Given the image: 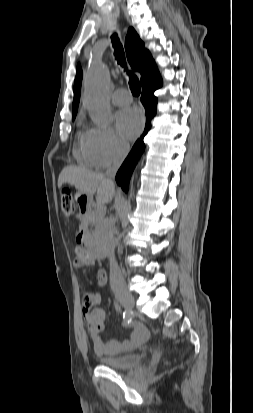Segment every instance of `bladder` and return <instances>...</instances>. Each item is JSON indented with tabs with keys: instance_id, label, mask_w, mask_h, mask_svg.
Listing matches in <instances>:
<instances>
[{
	"instance_id": "1",
	"label": "bladder",
	"mask_w": 253,
	"mask_h": 413,
	"mask_svg": "<svg viewBox=\"0 0 253 413\" xmlns=\"http://www.w3.org/2000/svg\"><path fill=\"white\" fill-rule=\"evenodd\" d=\"M143 356L139 353L124 354L118 356L100 357L99 362L114 369H127L141 364Z\"/></svg>"
}]
</instances>
